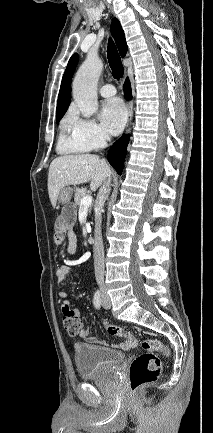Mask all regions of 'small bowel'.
Masks as SVG:
<instances>
[{"label": "small bowel", "mask_w": 213, "mask_h": 433, "mask_svg": "<svg viewBox=\"0 0 213 433\" xmlns=\"http://www.w3.org/2000/svg\"><path fill=\"white\" fill-rule=\"evenodd\" d=\"M75 222V215L72 212L66 211L63 213L55 224V233L53 242L55 246H61L64 241H67V253L70 255H73L77 251V236L74 231L73 225ZM72 270V262L71 261H65L63 264H61L55 273V278L57 283L64 287L68 283V277L71 274ZM59 297L62 299L61 309L63 314L71 311H75L79 313L76 309L72 308L71 302L68 297V293L66 291H59L58 292ZM78 335L91 343L96 342V339L90 335V329L89 328H82L81 331L78 333ZM134 344L129 343L128 341L119 343L114 345L117 348L121 349H128L132 347Z\"/></svg>", "instance_id": "small-bowel-1"}]
</instances>
